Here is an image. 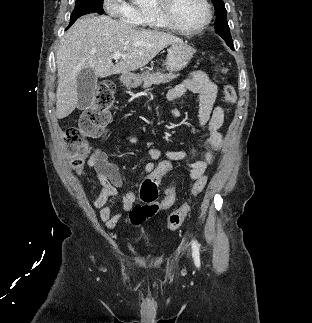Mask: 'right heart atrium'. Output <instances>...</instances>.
I'll use <instances>...</instances> for the list:
<instances>
[{"label":"right heart atrium","mask_w":312,"mask_h":323,"mask_svg":"<svg viewBox=\"0 0 312 323\" xmlns=\"http://www.w3.org/2000/svg\"><path fill=\"white\" fill-rule=\"evenodd\" d=\"M105 8L108 13H115V17H124V22H137L140 10L135 6H129V0H105Z\"/></svg>","instance_id":"obj_1"}]
</instances>
